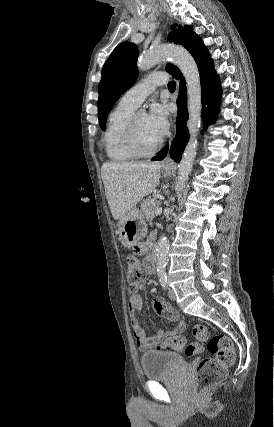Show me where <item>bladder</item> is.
<instances>
[{
    "mask_svg": "<svg viewBox=\"0 0 274 427\" xmlns=\"http://www.w3.org/2000/svg\"><path fill=\"white\" fill-rule=\"evenodd\" d=\"M180 355L172 351L147 350L141 354L140 362L148 380H158L172 376L179 368Z\"/></svg>",
    "mask_w": 274,
    "mask_h": 427,
    "instance_id": "obj_1",
    "label": "bladder"
}]
</instances>
